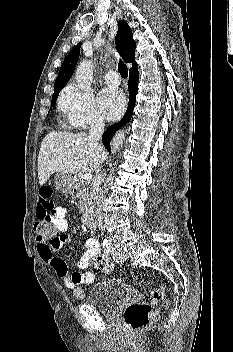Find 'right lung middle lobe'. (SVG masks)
Returning <instances> with one entry per match:
<instances>
[{
  "label": "right lung middle lobe",
  "instance_id": "dd1d6c3e",
  "mask_svg": "<svg viewBox=\"0 0 233 352\" xmlns=\"http://www.w3.org/2000/svg\"><path fill=\"white\" fill-rule=\"evenodd\" d=\"M60 90H61V89H58V90H55V91H54V94H53V96H52V101H51V108H52V106L55 105ZM51 108H50V109H51Z\"/></svg>",
  "mask_w": 233,
  "mask_h": 352
}]
</instances>
